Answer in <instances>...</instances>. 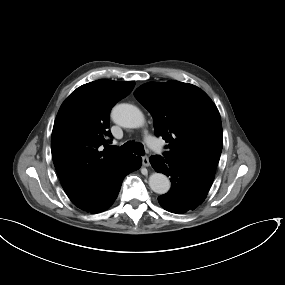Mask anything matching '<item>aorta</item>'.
Masks as SVG:
<instances>
[{
    "mask_svg": "<svg viewBox=\"0 0 285 285\" xmlns=\"http://www.w3.org/2000/svg\"><path fill=\"white\" fill-rule=\"evenodd\" d=\"M112 120L125 128H139L145 124L143 113L134 105H116L111 113ZM149 186L157 194H165L170 189V180L162 173H153L149 177Z\"/></svg>",
    "mask_w": 285,
    "mask_h": 285,
    "instance_id": "aorta-1",
    "label": "aorta"
}]
</instances>
